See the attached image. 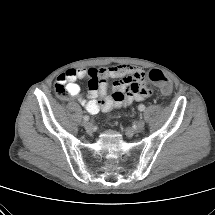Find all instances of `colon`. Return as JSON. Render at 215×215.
I'll return each mask as SVG.
<instances>
[{"label":"colon","instance_id":"obj_1","mask_svg":"<svg viewBox=\"0 0 215 215\" xmlns=\"http://www.w3.org/2000/svg\"><path fill=\"white\" fill-rule=\"evenodd\" d=\"M148 79L158 85L161 89V91L165 94L169 93L171 90V82L170 79L160 70L158 69H152L149 73H148ZM134 91L138 90V87H133ZM55 93L56 95L61 98V99H65L68 96V91L66 89V86L64 83L61 82H57L55 84Z\"/></svg>","mask_w":215,"mask_h":215}]
</instances>
